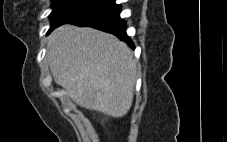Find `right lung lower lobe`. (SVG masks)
Listing matches in <instances>:
<instances>
[{
  "instance_id": "98d812e1",
  "label": "right lung lower lobe",
  "mask_w": 227,
  "mask_h": 142,
  "mask_svg": "<svg viewBox=\"0 0 227 142\" xmlns=\"http://www.w3.org/2000/svg\"><path fill=\"white\" fill-rule=\"evenodd\" d=\"M120 12V6L116 5L114 1L103 9L91 12L78 18H74L62 24L72 23L81 27H93L106 31L119 37L121 40L129 44V46L134 48L131 39L126 34V23L119 17Z\"/></svg>"
}]
</instances>
